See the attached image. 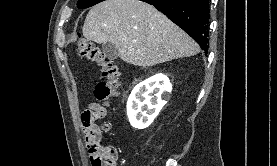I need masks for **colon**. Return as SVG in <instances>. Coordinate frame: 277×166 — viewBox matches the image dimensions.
Segmentation results:
<instances>
[{
  "label": "colon",
  "instance_id": "5ec220e1",
  "mask_svg": "<svg viewBox=\"0 0 277 166\" xmlns=\"http://www.w3.org/2000/svg\"><path fill=\"white\" fill-rule=\"evenodd\" d=\"M75 45L79 56L95 62L100 67L102 80L95 86L94 95L107 108L117 93L119 82L117 66L105 59L99 49L88 40L79 37ZM81 121L84 135L90 146L92 166H116V150L111 146L100 144L101 131L93 123L91 113L89 111L82 113ZM104 129L107 130L108 126L105 125Z\"/></svg>",
  "mask_w": 277,
  "mask_h": 166
}]
</instances>
